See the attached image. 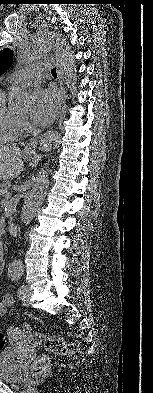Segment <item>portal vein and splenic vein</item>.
<instances>
[{
	"label": "portal vein and splenic vein",
	"instance_id": "18ae733b",
	"mask_svg": "<svg viewBox=\"0 0 153 393\" xmlns=\"http://www.w3.org/2000/svg\"><path fill=\"white\" fill-rule=\"evenodd\" d=\"M5 198H6V199L11 198V193L6 194Z\"/></svg>",
	"mask_w": 153,
	"mask_h": 393
}]
</instances>
